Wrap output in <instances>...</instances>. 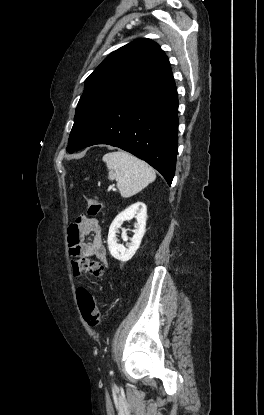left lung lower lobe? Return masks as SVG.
Masks as SVG:
<instances>
[{"label": "left lung lower lobe", "instance_id": "obj_1", "mask_svg": "<svg viewBox=\"0 0 264 415\" xmlns=\"http://www.w3.org/2000/svg\"><path fill=\"white\" fill-rule=\"evenodd\" d=\"M177 133L178 94L171 73L109 110L78 150L96 144L119 147L146 161L171 185Z\"/></svg>", "mask_w": 264, "mask_h": 415}]
</instances>
